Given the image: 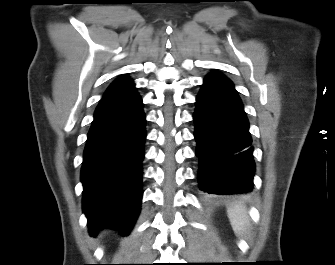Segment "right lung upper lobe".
I'll return each instance as SVG.
<instances>
[{"mask_svg": "<svg viewBox=\"0 0 335 265\" xmlns=\"http://www.w3.org/2000/svg\"><path fill=\"white\" fill-rule=\"evenodd\" d=\"M134 82L127 77L126 75H123L116 79L106 90L104 97L106 96H112V95H119V94H125L131 91L136 90L135 89Z\"/></svg>", "mask_w": 335, "mask_h": 265, "instance_id": "right-lung-upper-lobe-1", "label": "right lung upper lobe"}]
</instances>
